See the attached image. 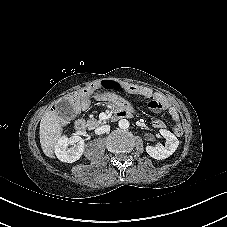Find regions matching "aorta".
<instances>
[{"label":"aorta","instance_id":"1","mask_svg":"<svg viewBox=\"0 0 227 227\" xmlns=\"http://www.w3.org/2000/svg\"><path fill=\"white\" fill-rule=\"evenodd\" d=\"M129 122L126 119H122L119 121V127L121 129H127L129 127Z\"/></svg>","mask_w":227,"mask_h":227}]
</instances>
